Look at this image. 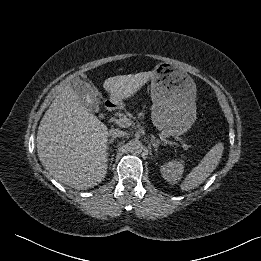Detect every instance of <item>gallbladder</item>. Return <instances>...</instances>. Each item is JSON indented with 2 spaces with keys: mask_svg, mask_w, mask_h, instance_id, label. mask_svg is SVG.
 <instances>
[{
  "mask_svg": "<svg viewBox=\"0 0 261 261\" xmlns=\"http://www.w3.org/2000/svg\"><path fill=\"white\" fill-rule=\"evenodd\" d=\"M71 85L74 91L79 96L81 103L89 111H97L99 108V101L96 92L93 90L91 85L86 81H83L79 77H75L71 80Z\"/></svg>",
  "mask_w": 261,
  "mask_h": 261,
  "instance_id": "bac80fb5",
  "label": "gallbladder"
}]
</instances>
